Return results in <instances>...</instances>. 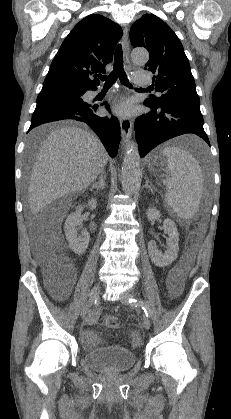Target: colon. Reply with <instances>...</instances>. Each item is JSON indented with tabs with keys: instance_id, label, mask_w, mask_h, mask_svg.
<instances>
[{
	"instance_id": "1",
	"label": "colon",
	"mask_w": 231,
	"mask_h": 419,
	"mask_svg": "<svg viewBox=\"0 0 231 419\" xmlns=\"http://www.w3.org/2000/svg\"><path fill=\"white\" fill-rule=\"evenodd\" d=\"M44 271L47 279L52 283L67 282L73 272L70 263L61 256L59 251L48 254L44 258ZM103 324L110 329H117L120 325L118 317L114 315H105ZM134 344L138 343V338H134Z\"/></svg>"
}]
</instances>
